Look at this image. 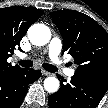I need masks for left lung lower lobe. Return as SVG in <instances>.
<instances>
[{
	"label": "left lung lower lobe",
	"mask_w": 108,
	"mask_h": 108,
	"mask_svg": "<svg viewBox=\"0 0 108 108\" xmlns=\"http://www.w3.org/2000/svg\"><path fill=\"white\" fill-rule=\"evenodd\" d=\"M58 77L60 89L48 97L49 108H96L108 90V75L74 74L67 84Z\"/></svg>",
	"instance_id": "obj_1"
}]
</instances>
